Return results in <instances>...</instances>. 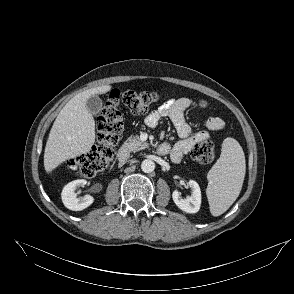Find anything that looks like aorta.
I'll use <instances>...</instances> for the list:
<instances>
[{"label":"aorta","mask_w":294,"mask_h":294,"mask_svg":"<svg viewBox=\"0 0 294 294\" xmlns=\"http://www.w3.org/2000/svg\"><path fill=\"white\" fill-rule=\"evenodd\" d=\"M141 169L144 173H151L155 169V163L150 159H145L141 163Z\"/></svg>","instance_id":"1"}]
</instances>
